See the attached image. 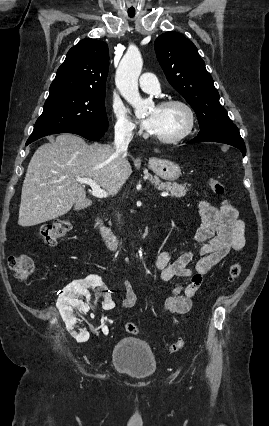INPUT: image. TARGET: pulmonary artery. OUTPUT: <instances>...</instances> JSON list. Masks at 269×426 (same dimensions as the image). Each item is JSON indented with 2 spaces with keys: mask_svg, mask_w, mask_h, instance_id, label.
Listing matches in <instances>:
<instances>
[{
  "mask_svg": "<svg viewBox=\"0 0 269 426\" xmlns=\"http://www.w3.org/2000/svg\"><path fill=\"white\" fill-rule=\"evenodd\" d=\"M140 88L148 93H157L159 91V82L155 74L146 72L139 78Z\"/></svg>",
  "mask_w": 269,
  "mask_h": 426,
  "instance_id": "pulmonary-artery-1",
  "label": "pulmonary artery"
}]
</instances>
